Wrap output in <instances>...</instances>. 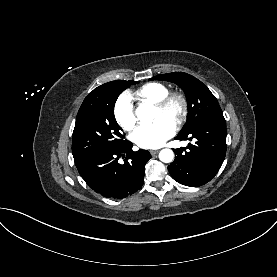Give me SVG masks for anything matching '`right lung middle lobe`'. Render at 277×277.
<instances>
[{"label": "right lung middle lobe", "instance_id": "1", "mask_svg": "<svg viewBox=\"0 0 277 277\" xmlns=\"http://www.w3.org/2000/svg\"><path fill=\"white\" fill-rule=\"evenodd\" d=\"M135 81L115 80L95 88L84 99L72 136V154L77 159L104 147L122 146L121 127L114 117V105L120 93Z\"/></svg>", "mask_w": 277, "mask_h": 277}]
</instances>
